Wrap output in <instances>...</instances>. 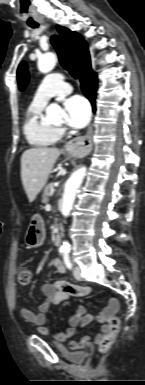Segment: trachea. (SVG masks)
Instances as JSON below:
<instances>
[{
	"label": "trachea",
	"instance_id": "1",
	"mask_svg": "<svg viewBox=\"0 0 145 385\" xmlns=\"http://www.w3.org/2000/svg\"><path fill=\"white\" fill-rule=\"evenodd\" d=\"M31 27L37 28L38 25H33ZM51 43L58 54L59 62L62 67L67 70L72 77L77 78V73L72 67L71 61L64 49L61 38L58 35H53L51 37Z\"/></svg>",
	"mask_w": 145,
	"mask_h": 385
}]
</instances>
